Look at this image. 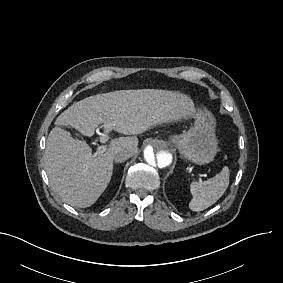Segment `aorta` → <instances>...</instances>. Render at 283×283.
I'll use <instances>...</instances> for the list:
<instances>
[{"label": "aorta", "instance_id": "obj_1", "mask_svg": "<svg viewBox=\"0 0 283 283\" xmlns=\"http://www.w3.org/2000/svg\"><path fill=\"white\" fill-rule=\"evenodd\" d=\"M143 159L150 171H167L173 164V148L167 141L151 139L144 148Z\"/></svg>", "mask_w": 283, "mask_h": 283}]
</instances>
